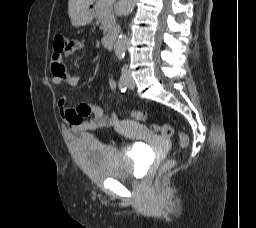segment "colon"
Listing matches in <instances>:
<instances>
[{
	"instance_id": "obj_1",
	"label": "colon",
	"mask_w": 256,
	"mask_h": 228,
	"mask_svg": "<svg viewBox=\"0 0 256 228\" xmlns=\"http://www.w3.org/2000/svg\"><path fill=\"white\" fill-rule=\"evenodd\" d=\"M67 41L64 36L62 35H56L53 39V49L55 54H60L62 53L65 48L67 47ZM131 117L135 120H143L144 119V114L141 111H133L131 113ZM152 129L158 133L162 137H171L174 133V130L171 125L169 124H161V125H152ZM179 138V144L182 148H185L188 146L189 139L188 136L184 132H180L178 134ZM175 165L174 160L168 161L166 164L161 169V173L156 179V185H159L161 182V177L164 172L167 170L171 169Z\"/></svg>"
}]
</instances>
